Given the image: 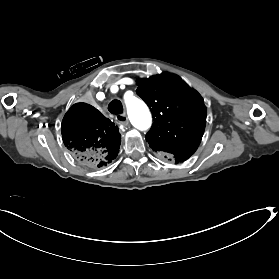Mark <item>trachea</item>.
I'll return each instance as SVG.
<instances>
[{
  "label": "trachea",
  "instance_id": "1",
  "mask_svg": "<svg viewBox=\"0 0 279 279\" xmlns=\"http://www.w3.org/2000/svg\"><path fill=\"white\" fill-rule=\"evenodd\" d=\"M108 110L112 114H121L123 113V106L120 100H112L108 105Z\"/></svg>",
  "mask_w": 279,
  "mask_h": 279
}]
</instances>
